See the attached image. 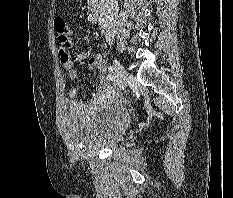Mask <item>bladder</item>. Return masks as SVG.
<instances>
[{
    "label": "bladder",
    "instance_id": "1",
    "mask_svg": "<svg viewBox=\"0 0 233 198\" xmlns=\"http://www.w3.org/2000/svg\"><path fill=\"white\" fill-rule=\"evenodd\" d=\"M130 114L121 102L102 105L88 113L68 110L62 120L67 143L79 153L114 150L124 139Z\"/></svg>",
    "mask_w": 233,
    "mask_h": 198
}]
</instances>
